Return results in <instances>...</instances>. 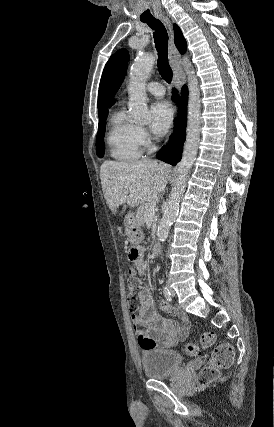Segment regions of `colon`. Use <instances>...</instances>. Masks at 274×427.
I'll return each instance as SVG.
<instances>
[{
	"label": "colon",
	"instance_id": "obj_1",
	"mask_svg": "<svg viewBox=\"0 0 274 427\" xmlns=\"http://www.w3.org/2000/svg\"><path fill=\"white\" fill-rule=\"evenodd\" d=\"M130 258L132 263H139L140 259L144 258V247L135 246L131 248ZM127 285L129 296L127 306L129 310H136L141 302V294L143 290V282L139 280L134 269L127 271ZM214 343V334L211 331H203L198 334L197 343H186L182 347V354L185 358H190L195 351L197 345L208 348ZM235 351L233 346L228 343H220L213 349L211 364L200 369L197 377V384L204 388L208 384L215 382L220 378V371L232 366L235 361Z\"/></svg>",
	"mask_w": 274,
	"mask_h": 427
}]
</instances>
